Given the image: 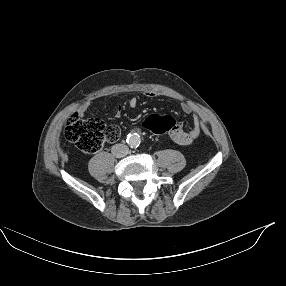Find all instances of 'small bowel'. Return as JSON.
I'll return each instance as SVG.
<instances>
[{
  "label": "small bowel",
  "instance_id": "1",
  "mask_svg": "<svg viewBox=\"0 0 286 286\" xmlns=\"http://www.w3.org/2000/svg\"><path fill=\"white\" fill-rule=\"evenodd\" d=\"M145 95L149 98L157 97V93L154 91H148L146 92ZM128 105L131 108L137 107L138 105L137 97L135 96L130 97L128 100ZM86 109H87V105H84L81 108V111L83 112ZM183 110L189 113L191 111V108L188 105H184ZM121 112H122V106H119L117 108L116 117H119L121 115ZM201 126L202 124L200 120L197 118L195 120L194 127L191 130L185 131L182 128V126L178 124L176 128H174L172 131L169 132V136L179 146H182V147L190 146L198 138L200 134Z\"/></svg>",
  "mask_w": 286,
  "mask_h": 286
}]
</instances>
